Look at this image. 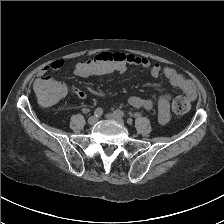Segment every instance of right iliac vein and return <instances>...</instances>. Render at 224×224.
Returning <instances> with one entry per match:
<instances>
[{
	"mask_svg": "<svg viewBox=\"0 0 224 224\" xmlns=\"http://www.w3.org/2000/svg\"><path fill=\"white\" fill-rule=\"evenodd\" d=\"M98 121V118L96 116H91L89 119H88V123L90 125H94L96 122Z\"/></svg>",
	"mask_w": 224,
	"mask_h": 224,
	"instance_id": "63e3f726",
	"label": "right iliac vein"
}]
</instances>
